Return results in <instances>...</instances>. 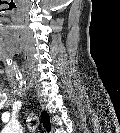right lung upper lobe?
<instances>
[{
  "instance_id": "obj_1",
  "label": "right lung upper lobe",
  "mask_w": 120,
  "mask_h": 133,
  "mask_svg": "<svg viewBox=\"0 0 120 133\" xmlns=\"http://www.w3.org/2000/svg\"><path fill=\"white\" fill-rule=\"evenodd\" d=\"M41 120H42V123L44 125V127L50 131L51 130V123H50V118H49V115L46 111H43L42 112V115H41Z\"/></svg>"
}]
</instances>
